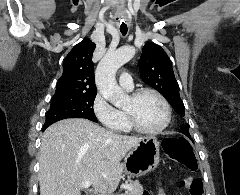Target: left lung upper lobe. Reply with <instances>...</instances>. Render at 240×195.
Returning <instances> with one entry per match:
<instances>
[{
  "mask_svg": "<svg viewBox=\"0 0 240 195\" xmlns=\"http://www.w3.org/2000/svg\"><path fill=\"white\" fill-rule=\"evenodd\" d=\"M138 64L142 80L160 92L175 111L184 116L185 108L179 95V85L165 51L156 44L146 43ZM180 131L190 137L188 124L182 125Z\"/></svg>",
  "mask_w": 240,
  "mask_h": 195,
  "instance_id": "left-lung-upper-lobe-1",
  "label": "left lung upper lobe"
}]
</instances>
